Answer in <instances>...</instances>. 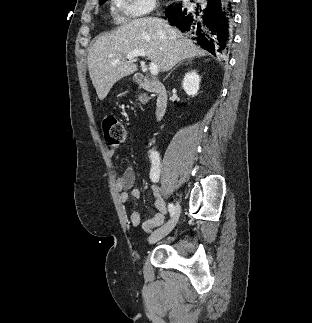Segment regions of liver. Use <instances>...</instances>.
Returning a JSON list of instances; mask_svg holds the SVG:
<instances>
[{"mask_svg":"<svg viewBox=\"0 0 312 323\" xmlns=\"http://www.w3.org/2000/svg\"><path fill=\"white\" fill-rule=\"evenodd\" d=\"M134 50H144L148 60L159 66L161 72H169L176 64L195 56H207V52L184 38L177 28L160 18H139L123 24L112 34L99 36L87 58L89 76L99 100H104L112 86L134 74V62L126 56ZM113 60H120L112 64Z\"/></svg>","mask_w":312,"mask_h":323,"instance_id":"1","label":"liver"}]
</instances>
